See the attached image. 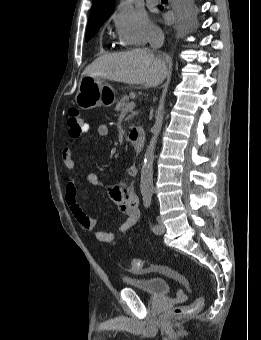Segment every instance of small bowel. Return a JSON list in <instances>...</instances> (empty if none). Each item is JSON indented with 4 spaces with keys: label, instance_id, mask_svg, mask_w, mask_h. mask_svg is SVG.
Here are the masks:
<instances>
[{
    "label": "small bowel",
    "instance_id": "small-bowel-1",
    "mask_svg": "<svg viewBox=\"0 0 261 340\" xmlns=\"http://www.w3.org/2000/svg\"><path fill=\"white\" fill-rule=\"evenodd\" d=\"M89 129V125L85 123V132ZM97 133L100 136H107L109 133L108 126L100 124L97 127ZM62 159L67 170L75 168V160L73 152L69 148H65L62 152ZM138 169L132 165L127 169V175L130 178L137 176ZM87 181L94 186H100L101 182L95 173L87 174ZM108 194L111 200L116 204L117 208L126 215V218L119 226V232L124 233L131 229L140 219V211L138 207V196L134 192L131 184L114 185L108 188ZM65 200L70 209L71 214L86 231H94L97 240L105 243H111L115 239V234L111 232L95 230L96 219L89 216L78 201L77 187L73 180H69L65 189Z\"/></svg>",
    "mask_w": 261,
    "mask_h": 340
}]
</instances>
